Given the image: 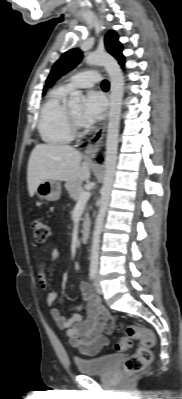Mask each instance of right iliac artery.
Here are the masks:
<instances>
[{
    "instance_id": "1",
    "label": "right iliac artery",
    "mask_w": 182,
    "mask_h": 399,
    "mask_svg": "<svg viewBox=\"0 0 182 399\" xmlns=\"http://www.w3.org/2000/svg\"><path fill=\"white\" fill-rule=\"evenodd\" d=\"M97 276V269L96 268H91L89 272V278L90 280H94Z\"/></svg>"
}]
</instances>
